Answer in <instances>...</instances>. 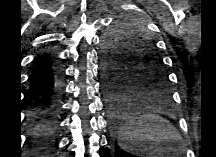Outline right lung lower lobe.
Masks as SVG:
<instances>
[{
    "instance_id": "right-lung-lower-lobe-1",
    "label": "right lung lower lobe",
    "mask_w": 216,
    "mask_h": 157,
    "mask_svg": "<svg viewBox=\"0 0 216 157\" xmlns=\"http://www.w3.org/2000/svg\"><path fill=\"white\" fill-rule=\"evenodd\" d=\"M60 83L51 58L39 55L30 75L28 101L30 105V139L35 153L47 157L52 151L57 129Z\"/></svg>"
}]
</instances>
